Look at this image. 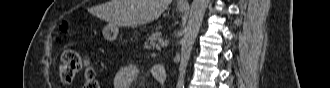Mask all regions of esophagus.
Wrapping results in <instances>:
<instances>
[{"instance_id": "obj_1", "label": "esophagus", "mask_w": 330, "mask_h": 88, "mask_svg": "<svg viewBox=\"0 0 330 88\" xmlns=\"http://www.w3.org/2000/svg\"><path fill=\"white\" fill-rule=\"evenodd\" d=\"M178 4L182 5V6H188V1L187 0H179Z\"/></svg>"}]
</instances>
